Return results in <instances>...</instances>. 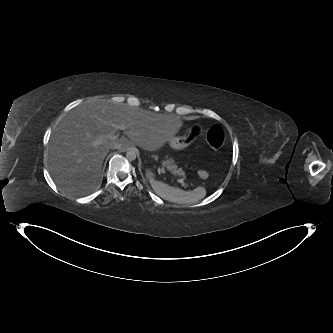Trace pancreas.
Masks as SVG:
<instances>
[{
	"label": "pancreas",
	"instance_id": "cf45deb5",
	"mask_svg": "<svg viewBox=\"0 0 333 333\" xmlns=\"http://www.w3.org/2000/svg\"><path fill=\"white\" fill-rule=\"evenodd\" d=\"M162 166L167 168V170L171 171L174 175L182 176L184 175V172L182 169H178L177 165L175 164L174 160L172 158H167L166 160H163Z\"/></svg>",
	"mask_w": 333,
	"mask_h": 333
}]
</instances>
